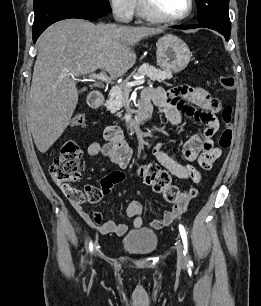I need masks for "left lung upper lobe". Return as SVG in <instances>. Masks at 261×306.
<instances>
[{
  "label": "left lung upper lobe",
  "instance_id": "obj_1",
  "mask_svg": "<svg viewBox=\"0 0 261 306\" xmlns=\"http://www.w3.org/2000/svg\"><path fill=\"white\" fill-rule=\"evenodd\" d=\"M196 3L199 23L231 28L228 14L229 0H196Z\"/></svg>",
  "mask_w": 261,
  "mask_h": 306
}]
</instances>
